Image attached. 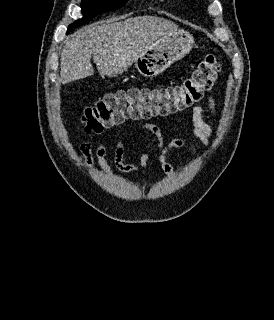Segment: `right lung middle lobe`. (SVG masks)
I'll return each instance as SVG.
<instances>
[{"label":"right lung middle lobe","mask_w":274,"mask_h":320,"mask_svg":"<svg viewBox=\"0 0 274 320\" xmlns=\"http://www.w3.org/2000/svg\"><path fill=\"white\" fill-rule=\"evenodd\" d=\"M127 1L128 0H82L81 8L83 18L70 24L67 33L78 25L88 23L96 15L124 6Z\"/></svg>","instance_id":"right-lung-middle-lobe-1"}]
</instances>
